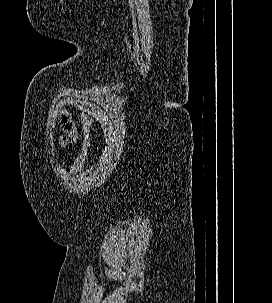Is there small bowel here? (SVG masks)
<instances>
[{
	"mask_svg": "<svg viewBox=\"0 0 272 303\" xmlns=\"http://www.w3.org/2000/svg\"><path fill=\"white\" fill-rule=\"evenodd\" d=\"M61 128L64 134L62 137L63 144L74 142L77 139V129L70 115L67 113L63 114L61 117Z\"/></svg>",
	"mask_w": 272,
	"mask_h": 303,
	"instance_id": "c3829d8e",
	"label": "small bowel"
}]
</instances>
